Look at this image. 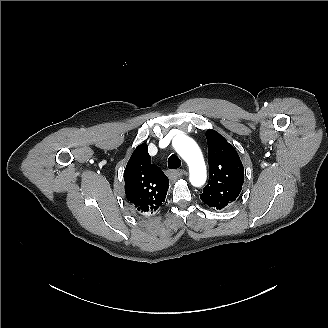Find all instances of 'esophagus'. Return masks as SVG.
I'll use <instances>...</instances> for the list:
<instances>
[{
    "mask_svg": "<svg viewBox=\"0 0 328 328\" xmlns=\"http://www.w3.org/2000/svg\"><path fill=\"white\" fill-rule=\"evenodd\" d=\"M167 176L172 179V178H178L181 177L184 174L183 170H175V169H169L166 171Z\"/></svg>",
    "mask_w": 328,
    "mask_h": 328,
    "instance_id": "34e87169",
    "label": "esophagus"
}]
</instances>
